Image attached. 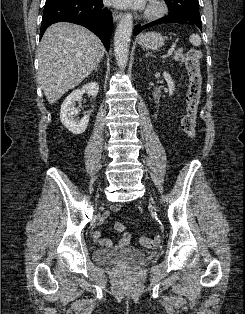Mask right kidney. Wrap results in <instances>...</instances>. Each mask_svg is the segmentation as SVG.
<instances>
[{
    "label": "right kidney",
    "instance_id": "obj_1",
    "mask_svg": "<svg viewBox=\"0 0 245 314\" xmlns=\"http://www.w3.org/2000/svg\"><path fill=\"white\" fill-rule=\"evenodd\" d=\"M99 91V85L96 82H91L84 85L81 89L73 91L62 103L60 111V120L62 124L73 134H82L89 123L90 114L84 115L81 120H75L77 109L75 108L76 102H80L82 95L88 93L89 95L96 96Z\"/></svg>",
    "mask_w": 245,
    "mask_h": 314
}]
</instances>
